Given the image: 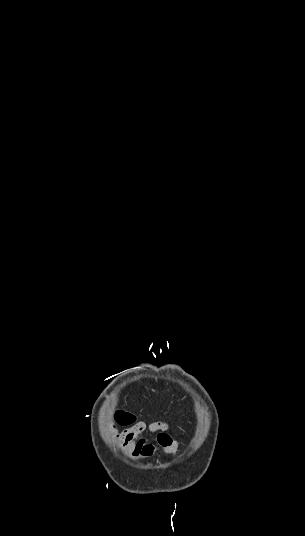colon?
<instances>
[{"instance_id": "5ec220e1", "label": "colon", "mask_w": 305, "mask_h": 536, "mask_svg": "<svg viewBox=\"0 0 305 536\" xmlns=\"http://www.w3.org/2000/svg\"><path fill=\"white\" fill-rule=\"evenodd\" d=\"M116 424H119L122 427H130L138 419V414L136 411H118L115 414Z\"/></svg>"}]
</instances>
